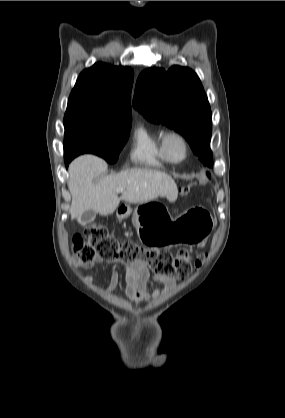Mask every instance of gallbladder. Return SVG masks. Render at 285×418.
Returning a JSON list of instances; mask_svg holds the SVG:
<instances>
[{
  "instance_id": "obj_1",
  "label": "gallbladder",
  "mask_w": 285,
  "mask_h": 418,
  "mask_svg": "<svg viewBox=\"0 0 285 418\" xmlns=\"http://www.w3.org/2000/svg\"><path fill=\"white\" fill-rule=\"evenodd\" d=\"M96 217V212L94 210H87L85 211L80 217V224L87 225L91 223Z\"/></svg>"
}]
</instances>
